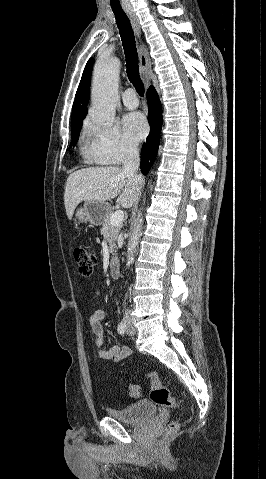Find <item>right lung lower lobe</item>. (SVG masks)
Segmentation results:
<instances>
[{
	"label": "right lung lower lobe",
	"mask_w": 266,
	"mask_h": 479,
	"mask_svg": "<svg viewBox=\"0 0 266 479\" xmlns=\"http://www.w3.org/2000/svg\"><path fill=\"white\" fill-rule=\"evenodd\" d=\"M147 102H148V120L150 124V134L146 139V143L143 144L141 151V171L144 175H147L151 166L153 165L158 148L159 137L162 127V107L159 100V96L153 86H150L147 90Z\"/></svg>",
	"instance_id": "1"
}]
</instances>
